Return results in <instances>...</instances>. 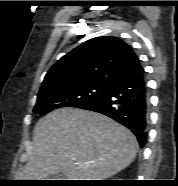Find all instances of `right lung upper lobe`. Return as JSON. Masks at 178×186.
I'll return each mask as SVG.
<instances>
[{
    "mask_svg": "<svg viewBox=\"0 0 178 186\" xmlns=\"http://www.w3.org/2000/svg\"><path fill=\"white\" fill-rule=\"evenodd\" d=\"M141 68L133 49L116 37H97L84 42L54 64L39 92L90 83L110 84Z\"/></svg>",
    "mask_w": 178,
    "mask_h": 186,
    "instance_id": "right-lung-upper-lobe-1",
    "label": "right lung upper lobe"
}]
</instances>
